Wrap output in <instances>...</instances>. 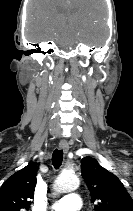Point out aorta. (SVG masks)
<instances>
[{"mask_svg":"<svg viewBox=\"0 0 133 211\" xmlns=\"http://www.w3.org/2000/svg\"><path fill=\"white\" fill-rule=\"evenodd\" d=\"M80 185L79 179L74 175L59 176L53 185L55 193H66L78 189Z\"/></svg>","mask_w":133,"mask_h":211,"instance_id":"762f6f07","label":"aorta"}]
</instances>
